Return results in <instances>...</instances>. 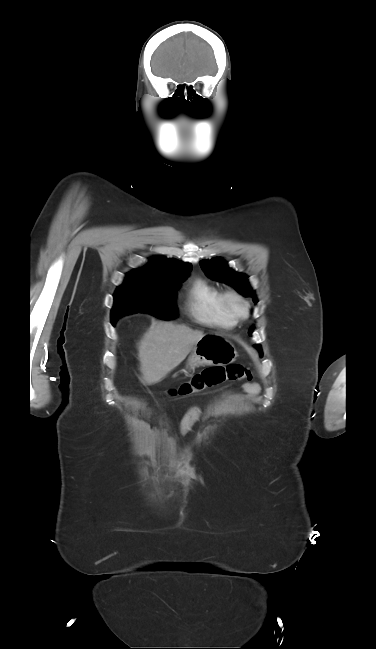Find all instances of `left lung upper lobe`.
I'll list each match as a JSON object with an SVG mask.
<instances>
[{
	"label": "left lung upper lobe",
	"mask_w": 376,
	"mask_h": 649,
	"mask_svg": "<svg viewBox=\"0 0 376 649\" xmlns=\"http://www.w3.org/2000/svg\"><path fill=\"white\" fill-rule=\"evenodd\" d=\"M200 265L209 278L231 285L243 296L251 297L254 295V291L247 282V276L231 270L223 259L213 258L211 260H203L200 262ZM254 302L257 303L256 298H254ZM252 332L253 327L249 330L250 336Z\"/></svg>",
	"instance_id": "obj_1"
}]
</instances>
